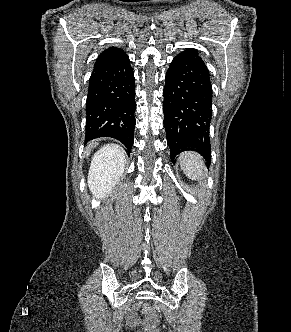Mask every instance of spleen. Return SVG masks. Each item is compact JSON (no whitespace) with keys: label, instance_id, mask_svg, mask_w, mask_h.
Instances as JSON below:
<instances>
[{"label":"spleen","instance_id":"3e777b00","mask_svg":"<svg viewBox=\"0 0 291 332\" xmlns=\"http://www.w3.org/2000/svg\"><path fill=\"white\" fill-rule=\"evenodd\" d=\"M181 169L192 180H202L205 176V163L202 156L193 151H185L179 156Z\"/></svg>","mask_w":291,"mask_h":332}]
</instances>
